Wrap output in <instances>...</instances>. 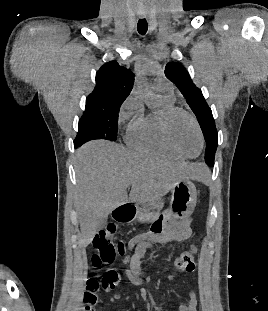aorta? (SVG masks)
I'll use <instances>...</instances> for the list:
<instances>
[{"label":"aorta","instance_id":"obj_1","mask_svg":"<svg viewBox=\"0 0 268 311\" xmlns=\"http://www.w3.org/2000/svg\"><path fill=\"white\" fill-rule=\"evenodd\" d=\"M152 70L151 66L150 65H147V64H143L141 65L140 67V71L142 73H148ZM138 89L139 91L141 92H144V93H147L149 92L150 88L148 86V84L146 83V81L144 80H140L139 83H138Z\"/></svg>","mask_w":268,"mask_h":311}]
</instances>
